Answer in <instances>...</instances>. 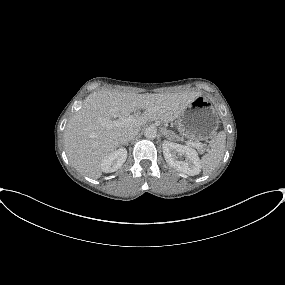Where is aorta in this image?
<instances>
[{
  "label": "aorta",
  "instance_id": "762f6f07",
  "mask_svg": "<svg viewBox=\"0 0 285 285\" xmlns=\"http://www.w3.org/2000/svg\"><path fill=\"white\" fill-rule=\"evenodd\" d=\"M144 136L147 138V139H154L156 138L157 136V130L155 127L153 126H150V127H147L144 131Z\"/></svg>",
  "mask_w": 285,
  "mask_h": 285
}]
</instances>
